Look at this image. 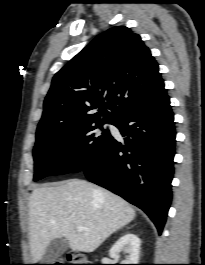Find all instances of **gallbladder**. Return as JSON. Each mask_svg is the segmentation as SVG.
<instances>
[{"mask_svg":"<svg viewBox=\"0 0 205 265\" xmlns=\"http://www.w3.org/2000/svg\"><path fill=\"white\" fill-rule=\"evenodd\" d=\"M68 249V242L64 238L53 239L47 246L42 257L44 264H50L57 260Z\"/></svg>","mask_w":205,"mask_h":265,"instance_id":"obj_1","label":"gallbladder"}]
</instances>
